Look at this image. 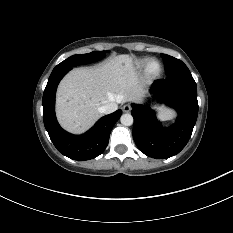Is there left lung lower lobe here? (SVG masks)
I'll return each mask as SVG.
<instances>
[{
    "mask_svg": "<svg viewBox=\"0 0 233 233\" xmlns=\"http://www.w3.org/2000/svg\"><path fill=\"white\" fill-rule=\"evenodd\" d=\"M152 93L178 112L176 123L165 130L149 106L132 104L133 138L147 156L165 159L178 154L189 141L198 115L197 86L191 76L156 80Z\"/></svg>",
    "mask_w": 233,
    "mask_h": 233,
    "instance_id": "0a47b994",
    "label": "left lung lower lobe"
}]
</instances>
